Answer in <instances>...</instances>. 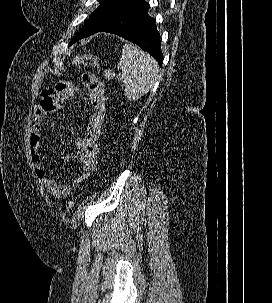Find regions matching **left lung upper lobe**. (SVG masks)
I'll return each mask as SVG.
<instances>
[{
    "mask_svg": "<svg viewBox=\"0 0 272 303\" xmlns=\"http://www.w3.org/2000/svg\"><path fill=\"white\" fill-rule=\"evenodd\" d=\"M141 1L142 0H99L100 6L90 15L82 29L71 40L70 45L74 43L78 37L91 30L103 20L131 8Z\"/></svg>",
    "mask_w": 272,
    "mask_h": 303,
    "instance_id": "1",
    "label": "left lung upper lobe"
}]
</instances>
